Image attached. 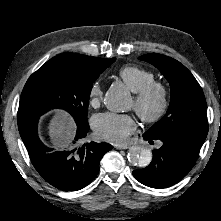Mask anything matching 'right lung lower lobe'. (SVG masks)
Wrapping results in <instances>:
<instances>
[{
  "label": "right lung lower lobe",
  "mask_w": 221,
  "mask_h": 221,
  "mask_svg": "<svg viewBox=\"0 0 221 221\" xmlns=\"http://www.w3.org/2000/svg\"><path fill=\"white\" fill-rule=\"evenodd\" d=\"M37 123L38 119H32L18 126L31 162L42 178L63 191L80 190L90 184L99 172L100 160L112 145L93 141L80 145L90 129L87 123L77 124L76 137L68 149L52 151L40 141Z\"/></svg>",
  "instance_id": "obj_1"
}]
</instances>
